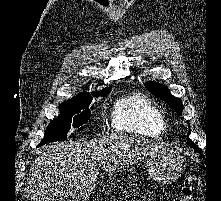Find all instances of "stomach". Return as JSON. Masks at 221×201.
<instances>
[{"mask_svg": "<svg viewBox=\"0 0 221 201\" xmlns=\"http://www.w3.org/2000/svg\"><path fill=\"white\" fill-rule=\"evenodd\" d=\"M147 171L149 176L159 183L174 182L183 171V159L175 151L156 152L147 159ZM91 189H87L80 197L88 196Z\"/></svg>", "mask_w": 221, "mask_h": 201, "instance_id": "0dacf381", "label": "stomach"}]
</instances>
